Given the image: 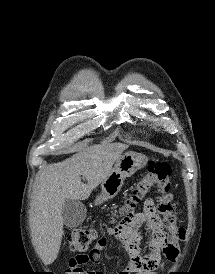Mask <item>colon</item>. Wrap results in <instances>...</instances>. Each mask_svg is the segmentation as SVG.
<instances>
[{
  "mask_svg": "<svg viewBox=\"0 0 215 274\" xmlns=\"http://www.w3.org/2000/svg\"><path fill=\"white\" fill-rule=\"evenodd\" d=\"M171 167L167 162L151 160L146 174L136 183L133 192L126 201L124 211L133 209L141 199L153 188L159 191V211L163 215V224L168 230L165 237L178 244L185 239V230L177 225L175 204L170 192ZM97 237L94 228H75L67 236L69 249L86 252Z\"/></svg>",
  "mask_w": 215,
  "mask_h": 274,
  "instance_id": "colon-1",
  "label": "colon"
}]
</instances>
